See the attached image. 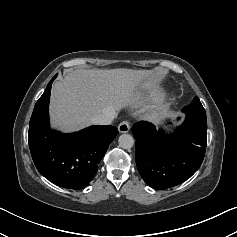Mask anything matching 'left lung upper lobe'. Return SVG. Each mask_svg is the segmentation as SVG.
Wrapping results in <instances>:
<instances>
[{"mask_svg":"<svg viewBox=\"0 0 237 237\" xmlns=\"http://www.w3.org/2000/svg\"><path fill=\"white\" fill-rule=\"evenodd\" d=\"M182 111L187 117L207 121L205 110L197 96L188 106L184 107Z\"/></svg>","mask_w":237,"mask_h":237,"instance_id":"1","label":"left lung upper lobe"}]
</instances>
